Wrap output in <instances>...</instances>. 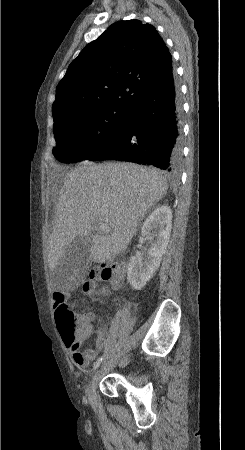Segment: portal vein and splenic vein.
Masks as SVG:
<instances>
[{
  "label": "portal vein and splenic vein",
  "mask_w": 245,
  "mask_h": 450,
  "mask_svg": "<svg viewBox=\"0 0 245 450\" xmlns=\"http://www.w3.org/2000/svg\"><path fill=\"white\" fill-rule=\"evenodd\" d=\"M99 230L103 233H109L111 231V228L109 227V225H107L105 223H101L99 225Z\"/></svg>",
  "instance_id": "18ae733b"
}]
</instances>
